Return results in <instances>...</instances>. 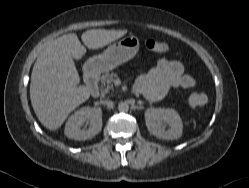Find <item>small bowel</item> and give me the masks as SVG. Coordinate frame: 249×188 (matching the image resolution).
Segmentation results:
<instances>
[{
    "mask_svg": "<svg viewBox=\"0 0 249 188\" xmlns=\"http://www.w3.org/2000/svg\"><path fill=\"white\" fill-rule=\"evenodd\" d=\"M195 80L184 73L183 64L177 60L161 59L135 83L137 92L151 101H157L175 88H192Z\"/></svg>",
    "mask_w": 249,
    "mask_h": 188,
    "instance_id": "obj_1",
    "label": "small bowel"
}]
</instances>
